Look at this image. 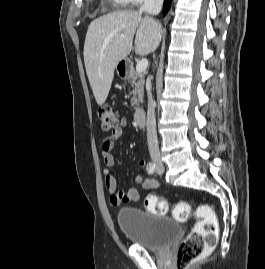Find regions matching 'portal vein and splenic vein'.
I'll return each mask as SVG.
<instances>
[{"label": "portal vein and splenic vein", "instance_id": "portal-vein-and-splenic-vein-1", "mask_svg": "<svg viewBox=\"0 0 265 269\" xmlns=\"http://www.w3.org/2000/svg\"><path fill=\"white\" fill-rule=\"evenodd\" d=\"M148 61L145 58H142L140 61H138L136 65V71L141 73L147 69Z\"/></svg>", "mask_w": 265, "mask_h": 269}]
</instances>
